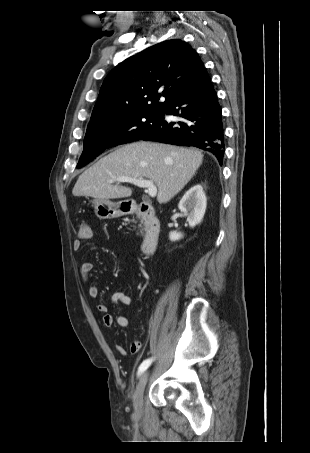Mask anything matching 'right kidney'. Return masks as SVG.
<instances>
[{"instance_id":"right-kidney-1","label":"right kidney","mask_w":310,"mask_h":453,"mask_svg":"<svg viewBox=\"0 0 310 453\" xmlns=\"http://www.w3.org/2000/svg\"><path fill=\"white\" fill-rule=\"evenodd\" d=\"M207 198L201 185L191 187L182 197L178 208L187 216V221L191 228L201 222L205 214ZM183 237L180 232L172 231L169 234L171 241L179 240Z\"/></svg>"}]
</instances>
